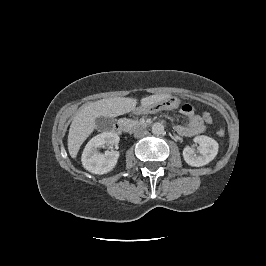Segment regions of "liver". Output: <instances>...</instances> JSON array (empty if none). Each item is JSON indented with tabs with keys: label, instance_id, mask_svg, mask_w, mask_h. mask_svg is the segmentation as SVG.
I'll list each match as a JSON object with an SVG mask.
<instances>
[{
	"label": "liver",
	"instance_id": "liver-1",
	"mask_svg": "<svg viewBox=\"0 0 266 266\" xmlns=\"http://www.w3.org/2000/svg\"><path fill=\"white\" fill-rule=\"evenodd\" d=\"M168 94L151 95L141 99V104L146 106L169 98ZM136 99L115 97L102 99L83 106L74 116L68 134V151L72 158H76L77 153L96 128V118L99 116L113 118L135 109Z\"/></svg>",
	"mask_w": 266,
	"mask_h": 266
}]
</instances>
